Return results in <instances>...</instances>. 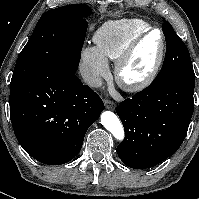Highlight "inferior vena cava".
<instances>
[{
  "label": "inferior vena cava",
  "instance_id": "obj_1",
  "mask_svg": "<svg viewBox=\"0 0 199 199\" xmlns=\"http://www.w3.org/2000/svg\"><path fill=\"white\" fill-rule=\"evenodd\" d=\"M80 74L84 82L89 86L94 88L102 86V78L98 74L90 70L89 68L82 67L80 69Z\"/></svg>",
  "mask_w": 199,
  "mask_h": 199
}]
</instances>
